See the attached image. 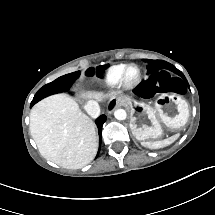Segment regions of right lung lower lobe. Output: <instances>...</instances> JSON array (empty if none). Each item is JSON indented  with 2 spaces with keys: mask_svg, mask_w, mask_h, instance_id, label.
I'll return each instance as SVG.
<instances>
[{
  "mask_svg": "<svg viewBox=\"0 0 215 215\" xmlns=\"http://www.w3.org/2000/svg\"><path fill=\"white\" fill-rule=\"evenodd\" d=\"M106 120V116L105 115H101L97 120H96V124L98 126V130H99V135H100V142H101V131H102V125Z\"/></svg>",
  "mask_w": 215,
  "mask_h": 215,
  "instance_id": "right-lung-lower-lobe-1",
  "label": "right lung lower lobe"
}]
</instances>
